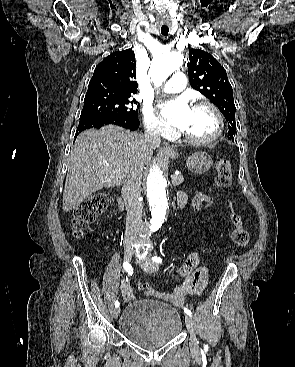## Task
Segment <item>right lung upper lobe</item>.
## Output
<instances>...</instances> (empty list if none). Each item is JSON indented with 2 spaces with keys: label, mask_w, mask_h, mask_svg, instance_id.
Masks as SVG:
<instances>
[{
  "label": "right lung upper lobe",
  "mask_w": 295,
  "mask_h": 367,
  "mask_svg": "<svg viewBox=\"0 0 295 367\" xmlns=\"http://www.w3.org/2000/svg\"><path fill=\"white\" fill-rule=\"evenodd\" d=\"M136 61L132 49L118 51L100 62L89 82L88 90H106L120 94H136Z\"/></svg>",
  "instance_id": "1"
}]
</instances>
